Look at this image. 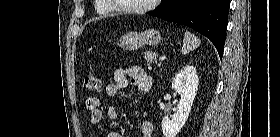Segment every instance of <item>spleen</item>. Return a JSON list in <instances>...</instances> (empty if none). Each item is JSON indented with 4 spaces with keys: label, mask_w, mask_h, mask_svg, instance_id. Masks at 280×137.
I'll list each match as a JSON object with an SVG mask.
<instances>
[{
    "label": "spleen",
    "mask_w": 280,
    "mask_h": 137,
    "mask_svg": "<svg viewBox=\"0 0 280 137\" xmlns=\"http://www.w3.org/2000/svg\"><path fill=\"white\" fill-rule=\"evenodd\" d=\"M201 41L194 34L186 31L184 34L183 45L181 52L182 54H187L190 51L196 49L200 45Z\"/></svg>",
    "instance_id": "3e777b00"
}]
</instances>
